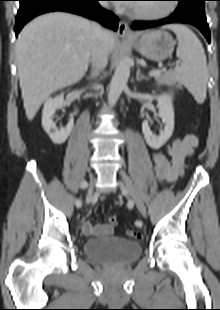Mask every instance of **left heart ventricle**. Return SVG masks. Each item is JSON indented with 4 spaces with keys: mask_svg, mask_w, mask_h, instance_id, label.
<instances>
[{
    "mask_svg": "<svg viewBox=\"0 0 220 310\" xmlns=\"http://www.w3.org/2000/svg\"><path fill=\"white\" fill-rule=\"evenodd\" d=\"M162 5H155V6H149V7H136L134 9H139V10H145L148 12H157L161 9Z\"/></svg>",
    "mask_w": 220,
    "mask_h": 310,
    "instance_id": "obj_1",
    "label": "left heart ventricle"
}]
</instances>
